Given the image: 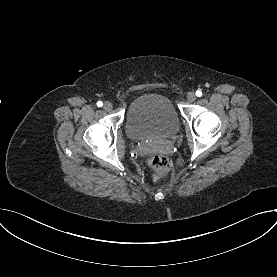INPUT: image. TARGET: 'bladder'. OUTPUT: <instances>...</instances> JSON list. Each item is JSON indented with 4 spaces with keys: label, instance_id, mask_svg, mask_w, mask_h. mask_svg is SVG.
Masks as SVG:
<instances>
[{
    "label": "bladder",
    "instance_id": "bladder-1",
    "mask_svg": "<svg viewBox=\"0 0 277 277\" xmlns=\"http://www.w3.org/2000/svg\"><path fill=\"white\" fill-rule=\"evenodd\" d=\"M180 121L170 99L162 94H145L134 99L126 112V132L136 141L175 136Z\"/></svg>",
    "mask_w": 277,
    "mask_h": 277
}]
</instances>
